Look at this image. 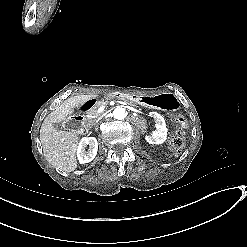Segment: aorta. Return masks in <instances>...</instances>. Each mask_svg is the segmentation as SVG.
<instances>
[{
  "mask_svg": "<svg viewBox=\"0 0 247 247\" xmlns=\"http://www.w3.org/2000/svg\"><path fill=\"white\" fill-rule=\"evenodd\" d=\"M112 116L115 119L122 120L127 116V112L124 108L122 107H117L113 110Z\"/></svg>",
  "mask_w": 247,
  "mask_h": 247,
  "instance_id": "obj_1",
  "label": "aorta"
}]
</instances>
